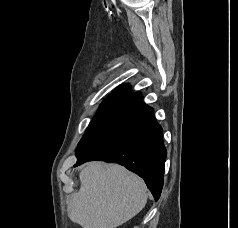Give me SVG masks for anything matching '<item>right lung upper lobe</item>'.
<instances>
[{"label":"right lung upper lobe","mask_w":238,"mask_h":228,"mask_svg":"<svg viewBox=\"0 0 238 228\" xmlns=\"http://www.w3.org/2000/svg\"><path fill=\"white\" fill-rule=\"evenodd\" d=\"M143 105L142 94L131 93L130 85L124 84L103 101L96 115L121 117Z\"/></svg>","instance_id":"obj_1"}]
</instances>
